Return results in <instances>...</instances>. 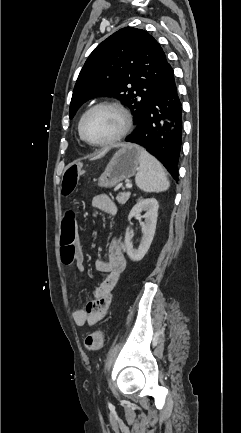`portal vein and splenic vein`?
I'll return each instance as SVG.
<instances>
[{"label": "portal vein and splenic vein", "mask_w": 241, "mask_h": 433, "mask_svg": "<svg viewBox=\"0 0 241 433\" xmlns=\"http://www.w3.org/2000/svg\"><path fill=\"white\" fill-rule=\"evenodd\" d=\"M126 188H127V189H131V188H132V184L127 183V184H126Z\"/></svg>", "instance_id": "portal-vein-and-splenic-vein-1"}]
</instances>
